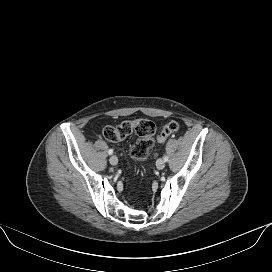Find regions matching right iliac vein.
<instances>
[{"instance_id":"1","label":"right iliac vein","mask_w":272,"mask_h":272,"mask_svg":"<svg viewBox=\"0 0 272 272\" xmlns=\"http://www.w3.org/2000/svg\"><path fill=\"white\" fill-rule=\"evenodd\" d=\"M111 165L115 166L118 164V158L115 155H112L109 159Z\"/></svg>"}]
</instances>
